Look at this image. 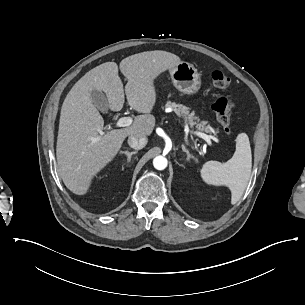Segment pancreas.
<instances>
[{
	"mask_svg": "<svg viewBox=\"0 0 305 305\" xmlns=\"http://www.w3.org/2000/svg\"><path fill=\"white\" fill-rule=\"evenodd\" d=\"M164 108H172L177 116L184 118V120L190 125V127L196 126L200 131L206 133H218L219 130H214L208 125V121H200V119L195 116L194 112H190V108L182 104H176L175 102L168 101Z\"/></svg>",
	"mask_w": 305,
	"mask_h": 305,
	"instance_id": "1",
	"label": "pancreas"
}]
</instances>
